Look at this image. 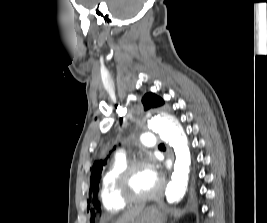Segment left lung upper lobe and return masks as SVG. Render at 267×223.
Segmentation results:
<instances>
[{
	"mask_svg": "<svg viewBox=\"0 0 267 223\" xmlns=\"http://www.w3.org/2000/svg\"><path fill=\"white\" fill-rule=\"evenodd\" d=\"M142 103L144 105V110H149L151 108H157L164 105V100L155 95L154 93H147L142 98ZM107 163V160H98L94 162L92 167V175L90 177V198L88 200V206L86 208V214H104V209L101 203L97 200V193L99 191V181L103 166Z\"/></svg>",
	"mask_w": 267,
	"mask_h": 223,
	"instance_id": "1",
	"label": "left lung upper lobe"
}]
</instances>
